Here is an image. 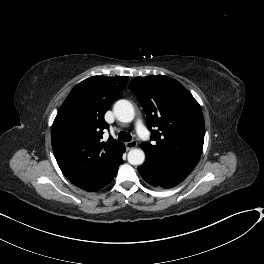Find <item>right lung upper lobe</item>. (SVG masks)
Returning a JSON list of instances; mask_svg holds the SVG:
<instances>
[{
  "label": "right lung upper lobe",
  "instance_id": "1",
  "mask_svg": "<svg viewBox=\"0 0 264 264\" xmlns=\"http://www.w3.org/2000/svg\"><path fill=\"white\" fill-rule=\"evenodd\" d=\"M128 77L92 76L76 85L52 125L51 143L63 174L77 187L93 192L106 186L123 163L124 145L111 136L104 114Z\"/></svg>",
  "mask_w": 264,
  "mask_h": 264
}]
</instances>
